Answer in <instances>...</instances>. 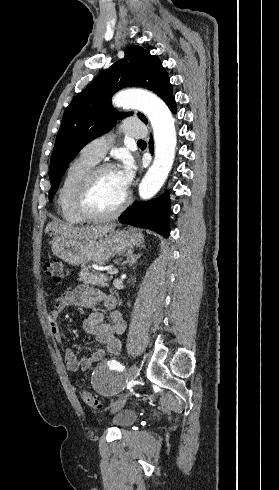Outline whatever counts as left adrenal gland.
<instances>
[{"instance_id":"left-adrenal-gland-1","label":"left adrenal gland","mask_w":279,"mask_h":490,"mask_svg":"<svg viewBox=\"0 0 279 490\" xmlns=\"http://www.w3.org/2000/svg\"><path fill=\"white\" fill-rule=\"evenodd\" d=\"M141 248H146V246H141ZM140 256H143V254H137V256H133V254H131V256H127V262L129 266H133V264H136Z\"/></svg>"}]
</instances>
